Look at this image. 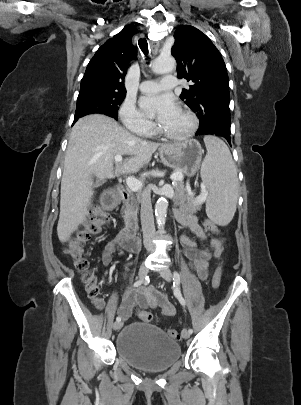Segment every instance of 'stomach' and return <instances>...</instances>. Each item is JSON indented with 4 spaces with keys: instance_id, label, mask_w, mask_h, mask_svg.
Masks as SVG:
<instances>
[{
    "instance_id": "stomach-1",
    "label": "stomach",
    "mask_w": 301,
    "mask_h": 405,
    "mask_svg": "<svg viewBox=\"0 0 301 405\" xmlns=\"http://www.w3.org/2000/svg\"><path fill=\"white\" fill-rule=\"evenodd\" d=\"M202 147L197 140L190 139L165 145L159 149L161 162L173 168L182 170L187 176H194L202 160Z\"/></svg>"
}]
</instances>
